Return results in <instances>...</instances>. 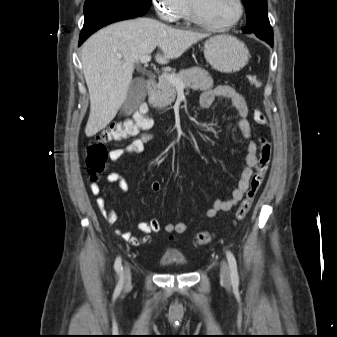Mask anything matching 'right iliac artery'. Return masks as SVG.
<instances>
[{
  "label": "right iliac artery",
  "mask_w": 337,
  "mask_h": 337,
  "mask_svg": "<svg viewBox=\"0 0 337 337\" xmlns=\"http://www.w3.org/2000/svg\"><path fill=\"white\" fill-rule=\"evenodd\" d=\"M114 267H115L116 272L121 275L120 276V283L122 284V282H123V276H122L123 268H122L121 258L120 257H118L116 259Z\"/></svg>",
  "instance_id": "82829eb1"
}]
</instances>
